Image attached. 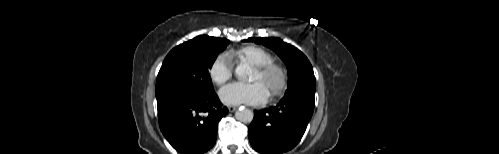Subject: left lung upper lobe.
<instances>
[{
    "instance_id": "1",
    "label": "left lung upper lobe",
    "mask_w": 499,
    "mask_h": 154,
    "mask_svg": "<svg viewBox=\"0 0 499 154\" xmlns=\"http://www.w3.org/2000/svg\"><path fill=\"white\" fill-rule=\"evenodd\" d=\"M245 41H252L272 49L284 61L289 73L285 96L300 91L315 92L316 79L313 68L307 57L296 47L276 37L249 38Z\"/></svg>"
}]
</instances>
